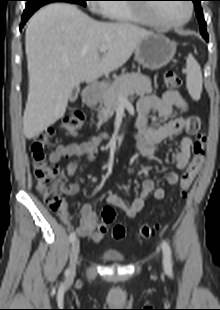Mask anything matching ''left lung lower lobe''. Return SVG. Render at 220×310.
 Returning <instances> with one entry per match:
<instances>
[{
    "instance_id": "obj_1",
    "label": "left lung lower lobe",
    "mask_w": 220,
    "mask_h": 310,
    "mask_svg": "<svg viewBox=\"0 0 220 310\" xmlns=\"http://www.w3.org/2000/svg\"><path fill=\"white\" fill-rule=\"evenodd\" d=\"M206 41H208V36L204 37Z\"/></svg>"
}]
</instances>
